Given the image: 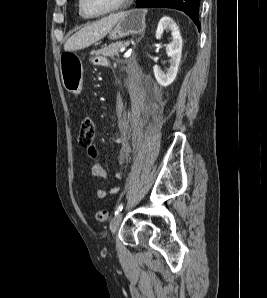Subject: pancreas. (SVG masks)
<instances>
[{"instance_id": "cf45deb5", "label": "pancreas", "mask_w": 267, "mask_h": 298, "mask_svg": "<svg viewBox=\"0 0 267 298\" xmlns=\"http://www.w3.org/2000/svg\"><path fill=\"white\" fill-rule=\"evenodd\" d=\"M125 45L124 41H119L110 44L109 46H105L95 52V54H101L106 57H113L115 55H119L120 49Z\"/></svg>"}]
</instances>
